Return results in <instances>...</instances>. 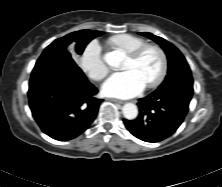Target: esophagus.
Returning <instances> with one entry per match:
<instances>
[{"label": "esophagus", "instance_id": "1", "mask_svg": "<svg viewBox=\"0 0 222 187\" xmlns=\"http://www.w3.org/2000/svg\"><path fill=\"white\" fill-rule=\"evenodd\" d=\"M108 100H109V101H112V102L119 103V104H124V101H121V100H118V99L110 98V99H108Z\"/></svg>", "mask_w": 222, "mask_h": 187}]
</instances>
